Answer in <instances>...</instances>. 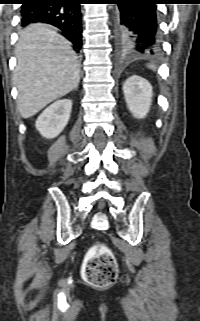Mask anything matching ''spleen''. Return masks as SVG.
<instances>
[{"mask_svg":"<svg viewBox=\"0 0 200 321\" xmlns=\"http://www.w3.org/2000/svg\"><path fill=\"white\" fill-rule=\"evenodd\" d=\"M147 66L152 70H156V67L153 64H148Z\"/></svg>","mask_w":200,"mask_h":321,"instance_id":"spleen-1","label":"spleen"}]
</instances>
